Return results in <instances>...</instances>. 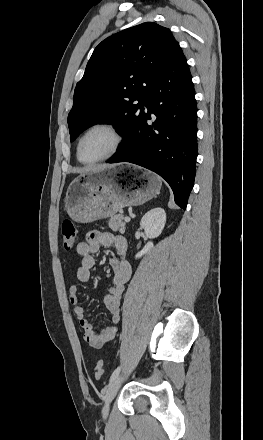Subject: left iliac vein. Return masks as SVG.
Returning <instances> with one entry per match:
<instances>
[{"instance_id":"left-iliac-vein-1","label":"left iliac vein","mask_w":263,"mask_h":440,"mask_svg":"<svg viewBox=\"0 0 263 440\" xmlns=\"http://www.w3.org/2000/svg\"><path fill=\"white\" fill-rule=\"evenodd\" d=\"M122 382V376H117V378L109 385V388L107 390L106 396H105V403L102 410V415L104 418H106L110 411V403L117 394V391L121 385Z\"/></svg>"}]
</instances>
